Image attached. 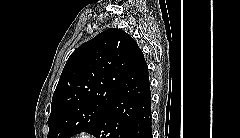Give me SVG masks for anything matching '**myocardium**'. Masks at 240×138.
Wrapping results in <instances>:
<instances>
[{
    "label": "myocardium",
    "instance_id": "myocardium-1",
    "mask_svg": "<svg viewBox=\"0 0 240 138\" xmlns=\"http://www.w3.org/2000/svg\"><path fill=\"white\" fill-rule=\"evenodd\" d=\"M82 138H92V136L90 134L85 133L82 135Z\"/></svg>",
    "mask_w": 240,
    "mask_h": 138
}]
</instances>
